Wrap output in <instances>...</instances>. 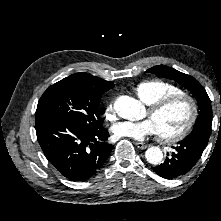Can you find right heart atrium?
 I'll list each match as a JSON object with an SVG mask.
<instances>
[{"label": "right heart atrium", "mask_w": 221, "mask_h": 221, "mask_svg": "<svg viewBox=\"0 0 221 221\" xmlns=\"http://www.w3.org/2000/svg\"><path fill=\"white\" fill-rule=\"evenodd\" d=\"M105 118L107 121H114L116 116L114 113V106H113V102H109L105 108Z\"/></svg>", "instance_id": "obj_1"}]
</instances>
